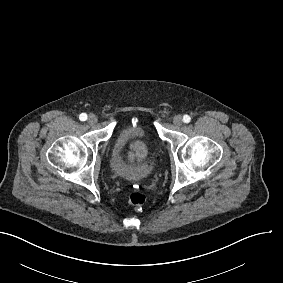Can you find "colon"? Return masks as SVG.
Instances as JSON below:
<instances>
[{
    "instance_id": "obj_1",
    "label": "colon",
    "mask_w": 283,
    "mask_h": 283,
    "mask_svg": "<svg viewBox=\"0 0 283 283\" xmlns=\"http://www.w3.org/2000/svg\"><path fill=\"white\" fill-rule=\"evenodd\" d=\"M129 200L130 203L136 208H142L145 205L147 198L141 192H133L130 194Z\"/></svg>"
}]
</instances>
